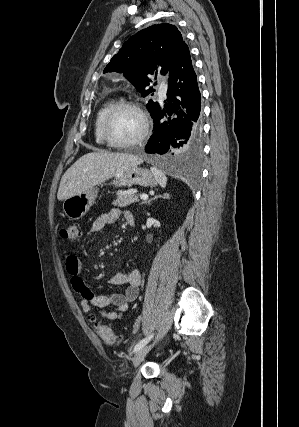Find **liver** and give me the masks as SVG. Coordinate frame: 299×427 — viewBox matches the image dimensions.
Returning a JSON list of instances; mask_svg holds the SVG:
<instances>
[{"label":"liver","mask_w":299,"mask_h":427,"mask_svg":"<svg viewBox=\"0 0 299 427\" xmlns=\"http://www.w3.org/2000/svg\"><path fill=\"white\" fill-rule=\"evenodd\" d=\"M142 163V158L131 154L104 151L87 153L64 173L57 198L62 201L80 194Z\"/></svg>","instance_id":"obj_1"}]
</instances>
